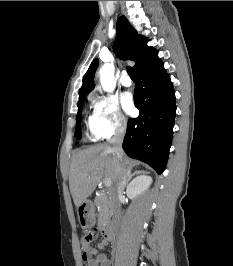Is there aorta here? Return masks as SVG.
<instances>
[{
  "instance_id": "aorta-1",
  "label": "aorta",
  "mask_w": 233,
  "mask_h": 266,
  "mask_svg": "<svg viewBox=\"0 0 233 266\" xmlns=\"http://www.w3.org/2000/svg\"><path fill=\"white\" fill-rule=\"evenodd\" d=\"M115 68L113 64L106 63L100 70V83L104 91L112 93L116 88Z\"/></svg>"
}]
</instances>
